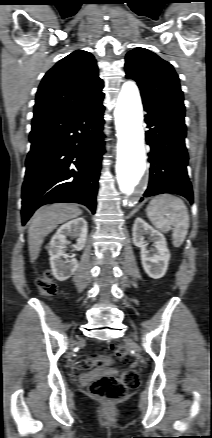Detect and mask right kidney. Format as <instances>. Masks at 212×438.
Returning a JSON list of instances; mask_svg holds the SVG:
<instances>
[{
    "label": "right kidney",
    "instance_id": "obj_1",
    "mask_svg": "<svg viewBox=\"0 0 212 438\" xmlns=\"http://www.w3.org/2000/svg\"><path fill=\"white\" fill-rule=\"evenodd\" d=\"M88 226L84 218H76L63 224L52 237L49 244L50 265L54 277L59 281L70 278L78 267V261L74 258L69 259L65 254V248L68 244L67 236L76 238V244L73 245L74 251H80L84 248L87 240ZM66 261H63V259Z\"/></svg>",
    "mask_w": 212,
    "mask_h": 438
}]
</instances>
